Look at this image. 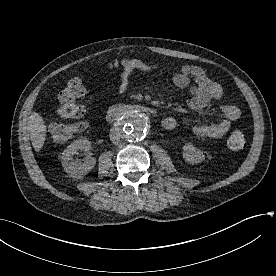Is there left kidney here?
<instances>
[{
  "mask_svg": "<svg viewBox=\"0 0 276 276\" xmlns=\"http://www.w3.org/2000/svg\"><path fill=\"white\" fill-rule=\"evenodd\" d=\"M183 157L190 164H197L205 159L203 152L191 143H187L183 146Z\"/></svg>",
  "mask_w": 276,
  "mask_h": 276,
  "instance_id": "left-kidney-1",
  "label": "left kidney"
}]
</instances>
